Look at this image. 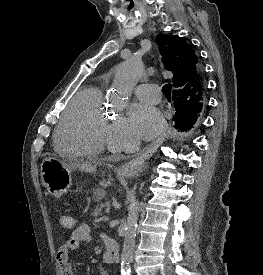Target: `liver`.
I'll return each instance as SVG.
<instances>
[{"label":"liver","mask_w":263,"mask_h":275,"mask_svg":"<svg viewBox=\"0 0 263 275\" xmlns=\"http://www.w3.org/2000/svg\"><path fill=\"white\" fill-rule=\"evenodd\" d=\"M75 167L79 168L81 171L88 172V173H94L96 172V162H84L75 164Z\"/></svg>","instance_id":"liver-1"}]
</instances>
